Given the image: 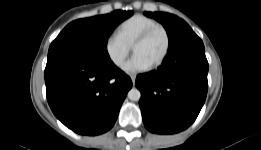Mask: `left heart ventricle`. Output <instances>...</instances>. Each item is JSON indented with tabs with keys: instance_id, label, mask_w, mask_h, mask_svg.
<instances>
[{
	"instance_id": "b2bd125f",
	"label": "left heart ventricle",
	"mask_w": 261,
	"mask_h": 150,
	"mask_svg": "<svg viewBox=\"0 0 261 150\" xmlns=\"http://www.w3.org/2000/svg\"><path fill=\"white\" fill-rule=\"evenodd\" d=\"M165 44V35L161 30H158L147 41L137 46L134 54L142 56L152 65L162 56Z\"/></svg>"
}]
</instances>
